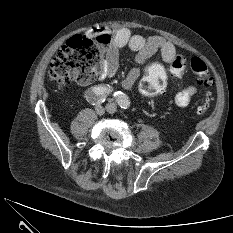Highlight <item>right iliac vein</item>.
I'll list each match as a JSON object with an SVG mask.
<instances>
[{"mask_svg":"<svg viewBox=\"0 0 233 233\" xmlns=\"http://www.w3.org/2000/svg\"><path fill=\"white\" fill-rule=\"evenodd\" d=\"M95 112L97 115L102 116L105 113V109L99 104L95 107Z\"/></svg>","mask_w":233,"mask_h":233,"instance_id":"1","label":"right iliac vein"}]
</instances>
